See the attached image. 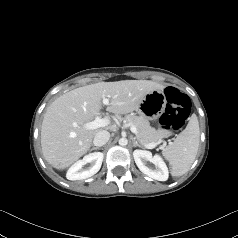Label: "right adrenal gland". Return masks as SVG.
Returning a JSON list of instances; mask_svg holds the SVG:
<instances>
[{"label":"right adrenal gland","instance_id":"2a0ac1e0","mask_svg":"<svg viewBox=\"0 0 238 238\" xmlns=\"http://www.w3.org/2000/svg\"><path fill=\"white\" fill-rule=\"evenodd\" d=\"M100 149L99 147H93L91 150H98Z\"/></svg>","mask_w":238,"mask_h":238}]
</instances>
